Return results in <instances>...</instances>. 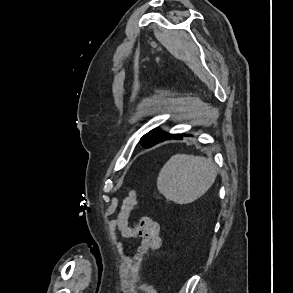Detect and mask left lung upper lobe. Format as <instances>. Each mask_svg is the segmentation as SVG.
I'll use <instances>...</instances> for the list:
<instances>
[{"instance_id": "obj_1", "label": "left lung upper lobe", "mask_w": 293, "mask_h": 293, "mask_svg": "<svg viewBox=\"0 0 293 293\" xmlns=\"http://www.w3.org/2000/svg\"><path fill=\"white\" fill-rule=\"evenodd\" d=\"M166 134L167 133L161 131L159 128H155L141 138V144L145 148L152 147L158 143Z\"/></svg>"}]
</instances>
